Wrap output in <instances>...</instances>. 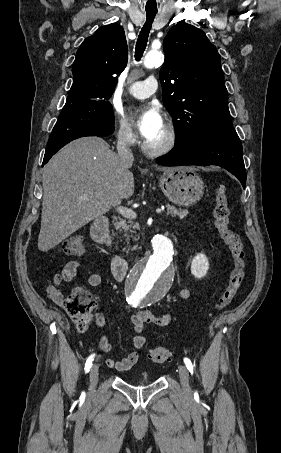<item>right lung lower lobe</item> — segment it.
Masks as SVG:
<instances>
[{"label":"right lung lower lobe","mask_w":281,"mask_h":453,"mask_svg":"<svg viewBox=\"0 0 281 453\" xmlns=\"http://www.w3.org/2000/svg\"><path fill=\"white\" fill-rule=\"evenodd\" d=\"M114 129L110 102L65 104L49 137L43 165L64 145L84 136L104 137Z\"/></svg>","instance_id":"98d812e1"}]
</instances>
